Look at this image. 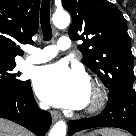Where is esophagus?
<instances>
[{"instance_id":"34e87169","label":"esophagus","mask_w":136,"mask_h":136,"mask_svg":"<svg viewBox=\"0 0 136 136\" xmlns=\"http://www.w3.org/2000/svg\"><path fill=\"white\" fill-rule=\"evenodd\" d=\"M51 117H52L53 121H57L61 116L58 112L51 111Z\"/></svg>"}]
</instances>
